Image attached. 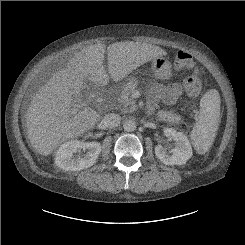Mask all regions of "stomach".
Masks as SVG:
<instances>
[{"instance_id":"obj_1","label":"stomach","mask_w":245,"mask_h":245,"mask_svg":"<svg viewBox=\"0 0 245 245\" xmlns=\"http://www.w3.org/2000/svg\"><path fill=\"white\" fill-rule=\"evenodd\" d=\"M152 71L156 77L161 79L169 78L172 74L170 62L162 56L152 60Z\"/></svg>"}]
</instances>
